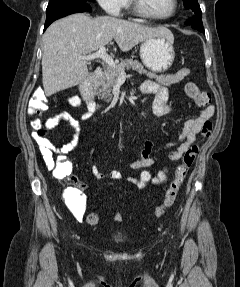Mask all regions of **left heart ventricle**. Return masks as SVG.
<instances>
[{
  "instance_id": "1",
  "label": "left heart ventricle",
  "mask_w": 240,
  "mask_h": 287,
  "mask_svg": "<svg viewBox=\"0 0 240 287\" xmlns=\"http://www.w3.org/2000/svg\"><path fill=\"white\" fill-rule=\"evenodd\" d=\"M144 6L154 15L163 16L172 9V0H143Z\"/></svg>"
}]
</instances>
